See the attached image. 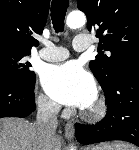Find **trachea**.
<instances>
[{"label":"trachea","mask_w":139,"mask_h":150,"mask_svg":"<svg viewBox=\"0 0 139 150\" xmlns=\"http://www.w3.org/2000/svg\"><path fill=\"white\" fill-rule=\"evenodd\" d=\"M68 0H52L51 3V18L55 31H64V19L68 8Z\"/></svg>","instance_id":"1"}]
</instances>
